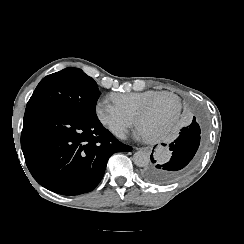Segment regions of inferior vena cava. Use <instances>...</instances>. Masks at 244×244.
Here are the masks:
<instances>
[{"label": "inferior vena cava", "instance_id": "inferior-vena-cava-1", "mask_svg": "<svg viewBox=\"0 0 244 244\" xmlns=\"http://www.w3.org/2000/svg\"><path fill=\"white\" fill-rule=\"evenodd\" d=\"M116 136L119 137L120 139H126V134L123 130H118L115 132Z\"/></svg>", "mask_w": 244, "mask_h": 244}]
</instances>
